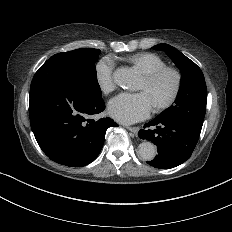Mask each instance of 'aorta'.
I'll return each instance as SVG.
<instances>
[{"label":"aorta","mask_w":232,"mask_h":232,"mask_svg":"<svg viewBox=\"0 0 232 232\" xmlns=\"http://www.w3.org/2000/svg\"><path fill=\"white\" fill-rule=\"evenodd\" d=\"M115 82L124 88L133 87L137 81V77L127 68H118L114 73ZM157 154L156 146L145 141L139 145V156L146 161H151L155 158Z\"/></svg>","instance_id":"aorta-1"}]
</instances>
